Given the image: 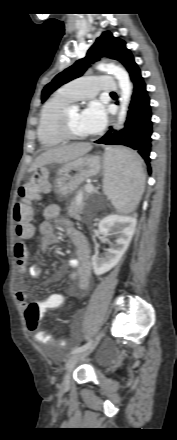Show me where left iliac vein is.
I'll list each match as a JSON object with an SVG mask.
<instances>
[{
    "label": "left iliac vein",
    "instance_id": "left-iliac-vein-1",
    "mask_svg": "<svg viewBox=\"0 0 177 440\" xmlns=\"http://www.w3.org/2000/svg\"><path fill=\"white\" fill-rule=\"evenodd\" d=\"M103 336V332H100L96 339L92 342V344L86 349L81 352L74 353L72 356L69 357V359L66 362V373L63 379L62 388L64 390H67L69 388L70 384V373L74 366L83 358H85L87 355H89L98 345L99 341L101 340Z\"/></svg>",
    "mask_w": 177,
    "mask_h": 440
}]
</instances>
